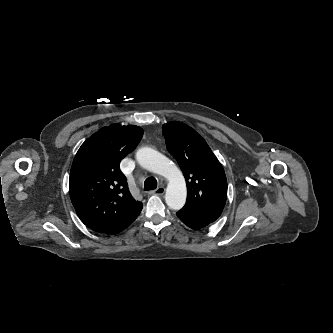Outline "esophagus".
<instances>
[{
  "instance_id": "1",
  "label": "esophagus",
  "mask_w": 333,
  "mask_h": 333,
  "mask_svg": "<svg viewBox=\"0 0 333 333\" xmlns=\"http://www.w3.org/2000/svg\"><path fill=\"white\" fill-rule=\"evenodd\" d=\"M165 193V188L164 187H158L156 190L150 192V194H155V195H159L162 196Z\"/></svg>"
}]
</instances>
